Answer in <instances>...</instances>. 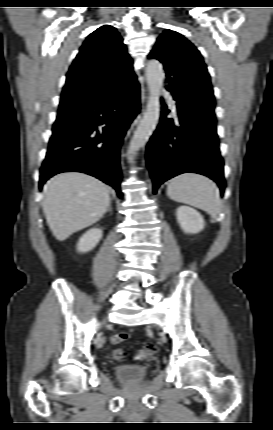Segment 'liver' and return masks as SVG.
Segmentation results:
<instances>
[{"label":"liver","mask_w":273,"mask_h":430,"mask_svg":"<svg viewBox=\"0 0 273 430\" xmlns=\"http://www.w3.org/2000/svg\"><path fill=\"white\" fill-rule=\"evenodd\" d=\"M43 211L59 241L96 223L110 206L108 187L81 172L55 175L43 188Z\"/></svg>","instance_id":"obj_1"}]
</instances>
